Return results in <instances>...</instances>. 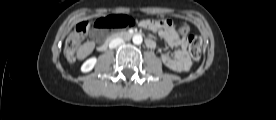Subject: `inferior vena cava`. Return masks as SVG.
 Here are the masks:
<instances>
[{
  "label": "inferior vena cava",
  "instance_id": "1",
  "mask_svg": "<svg viewBox=\"0 0 276 120\" xmlns=\"http://www.w3.org/2000/svg\"><path fill=\"white\" fill-rule=\"evenodd\" d=\"M123 43V39L121 38H116L113 39L110 43H109V47L111 49L116 48L117 46L121 45Z\"/></svg>",
  "mask_w": 276,
  "mask_h": 120
}]
</instances>
